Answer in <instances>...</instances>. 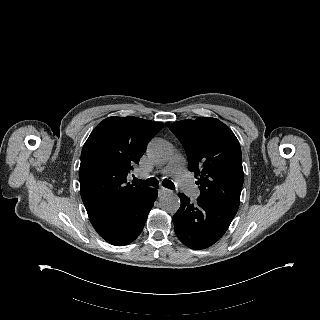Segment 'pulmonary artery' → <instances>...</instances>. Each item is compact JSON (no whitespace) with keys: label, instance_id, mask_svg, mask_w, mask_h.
<instances>
[{"label":"pulmonary artery","instance_id":"obj_1","mask_svg":"<svg viewBox=\"0 0 320 320\" xmlns=\"http://www.w3.org/2000/svg\"><path fill=\"white\" fill-rule=\"evenodd\" d=\"M163 174L171 175L177 186L189 197L197 198L200 190L192 183L185 169V159L181 154H175L166 167Z\"/></svg>","mask_w":320,"mask_h":320}]
</instances>
